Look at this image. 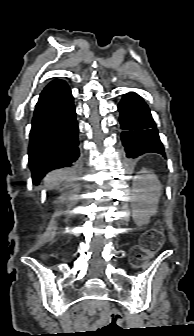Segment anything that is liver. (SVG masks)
<instances>
[{
	"label": "liver",
	"mask_w": 194,
	"mask_h": 336,
	"mask_svg": "<svg viewBox=\"0 0 194 336\" xmlns=\"http://www.w3.org/2000/svg\"><path fill=\"white\" fill-rule=\"evenodd\" d=\"M72 176L69 169H59L50 172L44 179V183L48 189L58 188L60 184L68 180Z\"/></svg>",
	"instance_id": "1"
}]
</instances>
